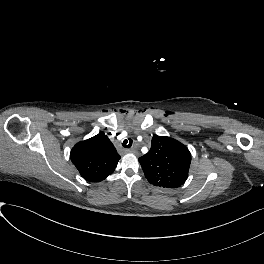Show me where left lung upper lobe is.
Wrapping results in <instances>:
<instances>
[{
	"instance_id": "obj_1",
	"label": "left lung upper lobe",
	"mask_w": 264,
	"mask_h": 264,
	"mask_svg": "<svg viewBox=\"0 0 264 264\" xmlns=\"http://www.w3.org/2000/svg\"><path fill=\"white\" fill-rule=\"evenodd\" d=\"M138 160L151 184L177 188L188 178L191 154L177 140L155 135L150 151Z\"/></svg>"
}]
</instances>
